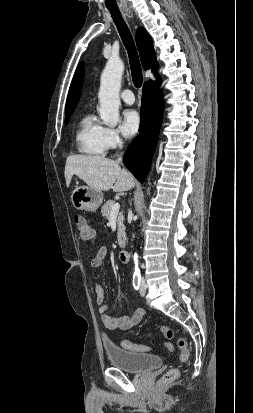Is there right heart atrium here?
Wrapping results in <instances>:
<instances>
[{"instance_id": "d8ad5b80", "label": "right heart atrium", "mask_w": 253, "mask_h": 413, "mask_svg": "<svg viewBox=\"0 0 253 413\" xmlns=\"http://www.w3.org/2000/svg\"><path fill=\"white\" fill-rule=\"evenodd\" d=\"M103 142L106 150H112L120 147L123 143V140L116 129L104 127Z\"/></svg>"}]
</instances>
